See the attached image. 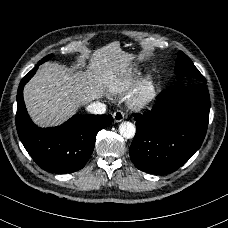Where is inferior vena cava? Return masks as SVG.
I'll list each match as a JSON object with an SVG mask.
<instances>
[{"label": "inferior vena cava", "mask_w": 228, "mask_h": 228, "mask_svg": "<svg viewBox=\"0 0 228 228\" xmlns=\"http://www.w3.org/2000/svg\"><path fill=\"white\" fill-rule=\"evenodd\" d=\"M88 112L96 115H102L106 112V105L101 102H93L87 106Z\"/></svg>", "instance_id": "inferior-vena-cava-1"}]
</instances>
